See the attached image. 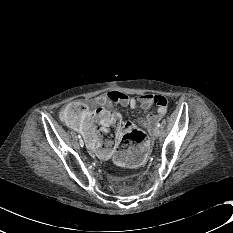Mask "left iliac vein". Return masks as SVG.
Listing matches in <instances>:
<instances>
[{
  "instance_id": "1",
  "label": "left iliac vein",
  "mask_w": 233,
  "mask_h": 233,
  "mask_svg": "<svg viewBox=\"0 0 233 233\" xmlns=\"http://www.w3.org/2000/svg\"><path fill=\"white\" fill-rule=\"evenodd\" d=\"M159 134H160V129H159V127H156V128L154 129L153 136H154L155 138H157V137L159 136Z\"/></svg>"
}]
</instances>
